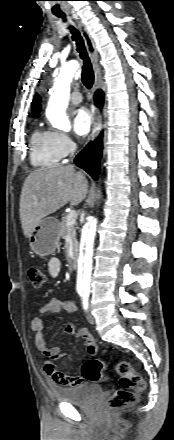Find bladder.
<instances>
[{"mask_svg":"<svg viewBox=\"0 0 174 440\" xmlns=\"http://www.w3.org/2000/svg\"><path fill=\"white\" fill-rule=\"evenodd\" d=\"M53 392L61 402L88 404L99 396L102 388L91 383H82L72 387H53Z\"/></svg>","mask_w":174,"mask_h":440,"instance_id":"31cf9c89","label":"bladder"}]
</instances>
